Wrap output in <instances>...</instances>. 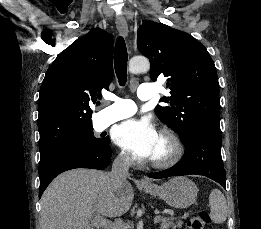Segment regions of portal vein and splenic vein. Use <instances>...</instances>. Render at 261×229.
<instances>
[{"label": "portal vein and splenic vein", "mask_w": 261, "mask_h": 229, "mask_svg": "<svg viewBox=\"0 0 261 229\" xmlns=\"http://www.w3.org/2000/svg\"><path fill=\"white\" fill-rule=\"evenodd\" d=\"M152 222L154 225H157L158 222H160V219L158 218H153ZM98 227H102V229H121V225H115V223H112V221H108V219H98L97 221Z\"/></svg>", "instance_id": "portal-vein-and-splenic-vein-1"}]
</instances>
